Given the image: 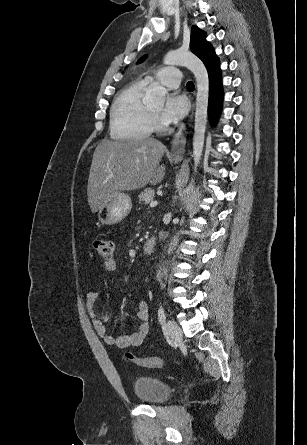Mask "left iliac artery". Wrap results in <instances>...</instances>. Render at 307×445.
<instances>
[{
	"instance_id": "44dca946",
	"label": "left iliac artery",
	"mask_w": 307,
	"mask_h": 445,
	"mask_svg": "<svg viewBox=\"0 0 307 445\" xmlns=\"http://www.w3.org/2000/svg\"><path fill=\"white\" fill-rule=\"evenodd\" d=\"M166 320V313L162 306L159 307L158 310V321L160 324H164Z\"/></svg>"
}]
</instances>
